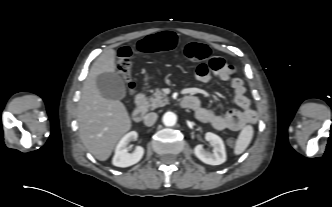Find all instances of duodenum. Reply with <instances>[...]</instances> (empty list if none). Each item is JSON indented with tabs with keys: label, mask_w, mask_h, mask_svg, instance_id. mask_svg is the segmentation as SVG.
<instances>
[{
	"label": "duodenum",
	"mask_w": 332,
	"mask_h": 207,
	"mask_svg": "<svg viewBox=\"0 0 332 207\" xmlns=\"http://www.w3.org/2000/svg\"><path fill=\"white\" fill-rule=\"evenodd\" d=\"M193 100L194 97L192 96H185L182 101H181V105L184 108H190L193 104ZM135 101L137 103L136 108L134 109L133 113H132V118L135 122H142L145 114H146V110H147V106L145 103V94L143 91H138L135 95Z\"/></svg>",
	"instance_id": "410a0bca"
}]
</instances>
